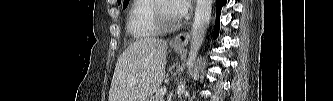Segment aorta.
Returning <instances> with one entry per match:
<instances>
[{"instance_id":"aorta-1","label":"aorta","mask_w":333,"mask_h":101,"mask_svg":"<svg viewBox=\"0 0 333 101\" xmlns=\"http://www.w3.org/2000/svg\"><path fill=\"white\" fill-rule=\"evenodd\" d=\"M211 10L212 0H197L194 23L191 32L190 51L187 61V67L190 73L193 69L198 51L204 40L211 18Z\"/></svg>"}]
</instances>
